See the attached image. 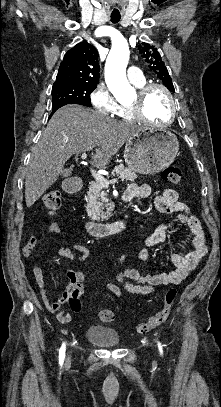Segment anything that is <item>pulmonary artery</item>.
<instances>
[{"label":"pulmonary artery","instance_id":"obj_1","mask_svg":"<svg viewBox=\"0 0 221 407\" xmlns=\"http://www.w3.org/2000/svg\"><path fill=\"white\" fill-rule=\"evenodd\" d=\"M127 75L133 84H141L145 81L142 71L136 66L129 67Z\"/></svg>","mask_w":221,"mask_h":407}]
</instances>
